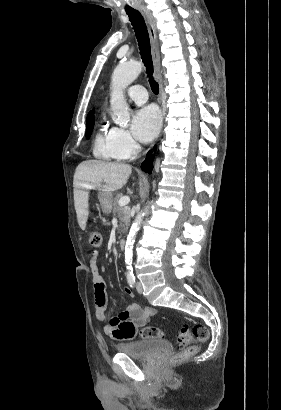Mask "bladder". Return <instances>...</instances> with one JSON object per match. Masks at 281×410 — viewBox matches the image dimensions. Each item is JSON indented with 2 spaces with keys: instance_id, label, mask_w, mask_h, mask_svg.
<instances>
[{
  "instance_id": "obj_1",
  "label": "bladder",
  "mask_w": 281,
  "mask_h": 410,
  "mask_svg": "<svg viewBox=\"0 0 281 410\" xmlns=\"http://www.w3.org/2000/svg\"><path fill=\"white\" fill-rule=\"evenodd\" d=\"M115 348L120 354L133 358L146 359L155 354L169 352L171 350V344L161 339H143L119 343Z\"/></svg>"
}]
</instances>
